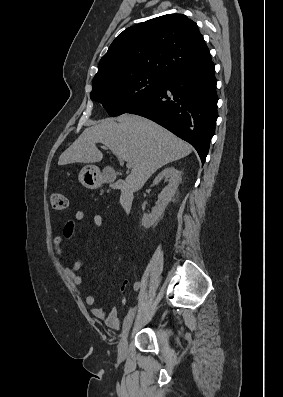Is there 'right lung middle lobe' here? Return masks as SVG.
<instances>
[{"instance_id": "dd1d6c3e", "label": "right lung middle lobe", "mask_w": 283, "mask_h": 397, "mask_svg": "<svg viewBox=\"0 0 283 397\" xmlns=\"http://www.w3.org/2000/svg\"><path fill=\"white\" fill-rule=\"evenodd\" d=\"M164 80L153 76H135L93 82L90 98L101 103L112 117L126 113L162 86Z\"/></svg>"}]
</instances>
